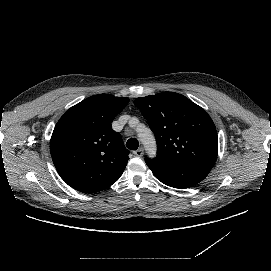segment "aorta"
I'll use <instances>...</instances> for the list:
<instances>
[{
    "label": "aorta",
    "instance_id": "1",
    "mask_svg": "<svg viewBox=\"0 0 271 271\" xmlns=\"http://www.w3.org/2000/svg\"><path fill=\"white\" fill-rule=\"evenodd\" d=\"M139 138L144 145L147 154L150 157H154L156 155L157 147L152 131L148 128H145L144 130L140 131Z\"/></svg>",
    "mask_w": 271,
    "mask_h": 271
}]
</instances>
